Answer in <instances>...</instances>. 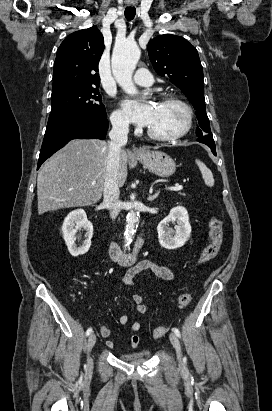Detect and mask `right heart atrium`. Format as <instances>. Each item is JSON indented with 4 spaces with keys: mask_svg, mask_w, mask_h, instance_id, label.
Listing matches in <instances>:
<instances>
[{
    "mask_svg": "<svg viewBox=\"0 0 272 411\" xmlns=\"http://www.w3.org/2000/svg\"><path fill=\"white\" fill-rule=\"evenodd\" d=\"M111 123L117 129H126L128 127L127 117L121 110H115L111 114Z\"/></svg>",
    "mask_w": 272,
    "mask_h": 411,
    "instance_id": "obj_1",
    "label": "right heart atrium"
}]
</instances>
